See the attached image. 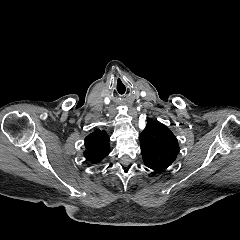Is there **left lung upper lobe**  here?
<instances>
[{
    "label": "left lung upper lobe",
    "mask_w": 240,
    "mask_h": 240,
    "mask_svg": "<svg viewBox=\"0 0 240 240\" xmlns=\"http://www.w3.org/2000/svg\"><path fill=\"white\" fill-rule=\"evenodd\" d=\"M145 165L157 173L165 171L176 159L179 145L168 127L149 121L139 136Z\"/></svg>",
    "instance_id": "obj_1"
}]
</instances>
